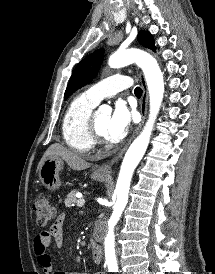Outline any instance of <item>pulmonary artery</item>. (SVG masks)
<instances>
[{"label":"pulmonary artery","mask_w":215,"mask_h":274,"mask_svg":"<svg viewBox=\"0 0 215 274\" xmlns=\"http://www.w3.org/2000/svg\"><path fill=\"white\" fill-rule=\"evenodd\" d=\"M132 80L126 75H112L103 81L91 86L83 94L98 104L102 99L115 95L119 91L129 88Z\"/></svg>","instance_id":"pulmonary-artery-1"}]
</instances>
